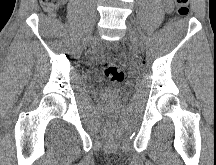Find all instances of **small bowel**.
<instances>
[{"label":"small bowel","mask_w":216,"mask_h":165,"mask_svg":"<svg viewBox=\"0 0 216 165\" xmlns=\"http://www.w3.org/2000/svg\"><path fill=\"white\" fill-rule=\"evenodd\" d=\"M165 6L167 9H171L172 8V1L171 0H165Z\"/></svg>","instance_id":"small-bowel-1"}]
</instances>
